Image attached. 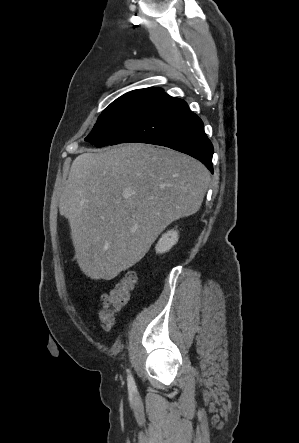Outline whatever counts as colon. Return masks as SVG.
Returning a JSON list of instances; mask_svg holds the SVG:
<instances>
[{
  "label": "colon",
  "mask_w": 299,
  "mask_h": 443,
  "mask_svg": "<svg viewBox=\"0 0 299 443\" xmlns=\"http://www.w3.org/2000/svg\"><path fill=\"white\" fill-rule=\"evenodd\" d=\"M137 284L134 271H127L106 293L102 295V307L99 313L101 326L111 330L115 326V315L127 303Z\"/></svg>",
  "instance_id": "obj_1"
}]
</instances>
